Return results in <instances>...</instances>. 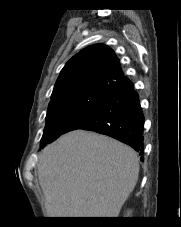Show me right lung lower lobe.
I'll return each instance as SVG.
<instances>
[{
  "instance_id": "obj_1",
  "label": "right lung lower lobe",
  "mask_w": 181,
  "mask_h": 227,
  "mask_svg": "<svg viewBox=\"0 0 181 227\" xmlns=\"http://www.w3.org/2000/svg\"><path fill=\"white\" fill-rule=\"evenodd\" d=\"M143 125L144 116L138 94L134 91L131 81L125 77L113 87L98 110L67 132L76 129L95 131L124 142L142 155L144 152Z\"/></svg>"
}]
</instances>
